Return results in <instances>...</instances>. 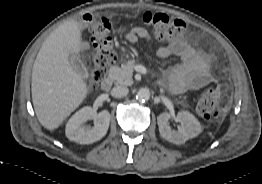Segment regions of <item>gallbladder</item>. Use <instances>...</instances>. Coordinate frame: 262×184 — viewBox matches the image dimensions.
<instances>
[{
	"label": "gallbladder",
	"instance_id": "gallbladder-1",
	"mask_svg": "<svg viewBox=\"0 0 262 184\" xmlns=\"http://www.w3.org/2000/svg\"><path fill=\"white\" fill-rule=\"evenodd\" d=\"M70 63L74 69V71L81 76L82 78H88L89 72L84 63L77 55H71Z\"/></svg>",
	"mask_w": 262,
	"mask_h": 184
}]
</instances>
